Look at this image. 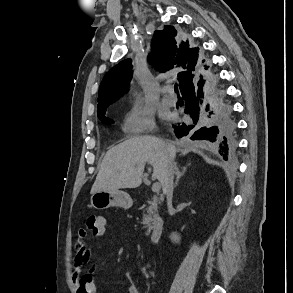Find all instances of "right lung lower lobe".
<instances>
[{
  "label": "right lung lower lobe",
  "mask_w": 293,
  "mask_h": 293,
  "mask_svg": "<svg viewBox=\"0 0 293 293\" xmlns=\"http://www.w3.org/2000/svg\"><path fill=\"white\" fill-rule=\"evenodd\" d=\"M203 84V77L200 76L198 82L193 79L180 90L185 100V112L190 114L195 125L173 126L174 133L178 138L189 135L192 140L217 141L224 159L227 160L228 152L235 147V122L226 106H214L211 109L209 105L202 106ZM207 111H209L208 114L205 113ZM204 122L214 123V125L209 128H198Z\"/></svg>",
  "instance_id": "right-lung-lower-lobe-1"
}]
</instances>
